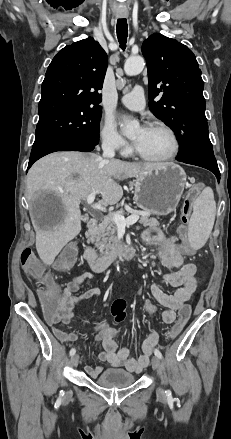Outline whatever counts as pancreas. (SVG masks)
<instances>
[{
    "mask_svg": "<svg viewBox=\"0 0 231 439\" xmlns=\"http://www.w3.org/2000/svg\"><path fill=\"white\" fill-rule=\"evenodd\" d=\"M130 213L141 215L139 223L144 227H156L159 225L158 220L155 218H150L149 214L146 212L130 210ZM114 214L124 215L126 213L123 209H120ZM116 232L117 225L113 221V214H111L105 216L96 230L91 234L90 241L99 249L101 256L108 253L110 249L117 247L118 240L116 237Z\"/></svg>",
    "mask_w": 231,
    "mask_h": 439,
    "instance_id": "1",
    "label": "pancreas"
}]
</instances>
